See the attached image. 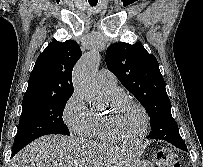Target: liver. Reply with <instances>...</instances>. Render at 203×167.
<instances>
[{"label": "liver", "mask_w": 203, "mask_h": 167, "mask_svg": "<svg viewBox=\"0 0 203 167\" xmlns=\"http://www.w3.org/2000/svg\"><path fill=\"white\" fill-rule=\"evenodd\" d=\"M137 154L62 135L43 136L18 152L9 167H131Z\"/></svg>", "instance_id": "1"}]
</instances>
